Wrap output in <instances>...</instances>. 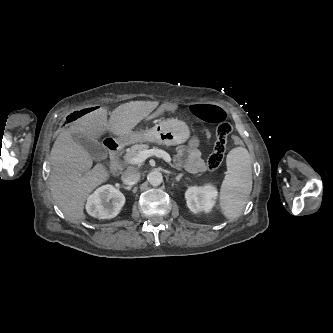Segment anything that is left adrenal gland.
Returning a JSON list of instances; mask_svg holds the SVG:
<instances>
[{
    "mask_svg": "<svg viewBox=\"0 0 333 333\" xmlns=\"http://www.w3.org/2000/svg\"><path fill=\"white\" fill-rule=\"evenodd\" d=\"M184 176V174L183 173H181V174H179L178 176H176V181L177 182H179L180 181V179L182 178Z\"/></svg>",
    "mask_w": 333,
    "mask_h": 333,
    "instance_id": "1",
    "label": "left adrenal gland"
}]
</instances>
